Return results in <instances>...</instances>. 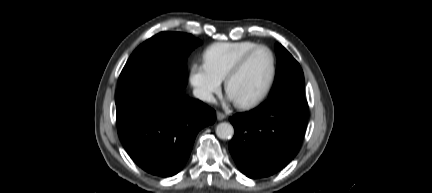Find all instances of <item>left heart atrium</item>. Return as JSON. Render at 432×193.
Segmentation results:
<instances>
[{
    "instance_id": "left-heart-atrium-1",
    "label": "left heart atrium",
    "mask_w": 432,
    "mask_h": 193,
    "mask_svg": "<svg viewBox=\"0 0 432 193\" xmlns=\"http://www.w3.org/2000/svg\"><path fill=\"white\" fill-rule=\"evenodd\" d=\"M229 99H230V100H233L232 97H231L230 95H229Z\"/></svg>"
}]
</instances>
